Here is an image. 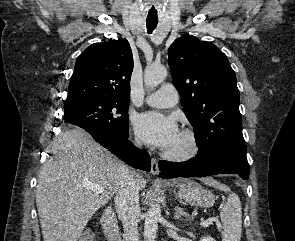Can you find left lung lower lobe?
Returning a JSON list of instances; mask_svg holds the SVG:
<instances>
[{"instance_id":"left-lung-lower-lobe-1","label":"left lung lower lobe","mask_w":295,"mask_h":241,"mask_svg":"<svg viewBox=\"0 0 295 241\" xmlns=\"http://www.w3.org/2000/svg\"><path fill=\"white\" fill-rule=\"evenodd\" d=\"M160 176L175 177H202L217 174H239L243 179L249 177L247 159L231 154L213 153L205 156H196L185 162H159Z\"/></svg>"}]
</instances>
